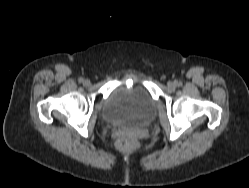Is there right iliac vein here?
Wrapping results in <instances>:
<instances>
[{
	"label": "right iliac vein",
	"instance_id": "1",
	"mask_svg": "<svg viewBox=\"0 0 249 188\" xmlns=\"http://www.w3.org/2000/svg\"><path fill=\"white\" fill-rule=\"evenodd\" d=\"M83 84H84L85 86H89V85L91 84V82H90L89 79H86V80H84Z\"/></svg>",
	"mask_w": 249,
	"mask_h": 188
}]
</instances>
